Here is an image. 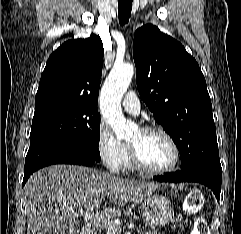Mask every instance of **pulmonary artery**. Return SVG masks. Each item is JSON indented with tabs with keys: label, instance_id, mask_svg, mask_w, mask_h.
Wrapping results in <instances>:
<instances>
[{
	"label": "pulmonary artery",
	"instance_id": "pulmonary-artery-1",
	"mask_svg": "<svg viewBox=\"0 0 241 234\" xmlns=\"http://www.w3.org/2000/svg\"><path fill=\"white\" fill-rule=\"evenodd\" d=\"M124 109L134 115L140 112V100L134 91H129L122 101Z\"/></svg>",
	"mask_w": 241,
	"mask_h": 234
}]
</instances>
